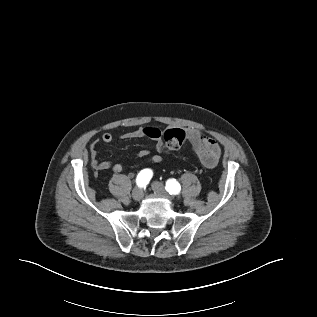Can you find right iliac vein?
Instances as JSON below:
<instances>
[{
  "instance_id": "obj_1",
  "label": "right iliac vein",
  "mask_w": 317,
  "mask_h": 317,
  "mask_svg": "<svg viewBox=\"0 0 317 317\" xmlns=\"http://www.w3.org/2000/svg\"><path fill=\"white\" fill-rule=\"evenodd\" d=\"M132 197L136 201H140L143 198V191L139 187H136L132 191Z\"/></svg>"
}]
</instances>
